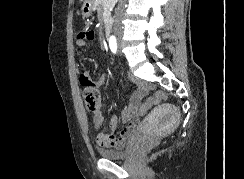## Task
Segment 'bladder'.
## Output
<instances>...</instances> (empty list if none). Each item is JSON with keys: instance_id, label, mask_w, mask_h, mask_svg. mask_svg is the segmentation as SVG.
I'll list each match as a JSON object with an SVG mask.
<instances>
[{"instance_id": "bladder-1", "label": "bladder", "mask_w": 244, "mask_h": 179, "mask_svg": "<svg viewBox=\"0 0 244 179\" xmlns=\"http://www.w3.org/2000/svg\"><path fill=\"white\" fill-rule=\"evenodd\" d=\"M98 155L102 156L103 158L107 159H120V158H125L129 150H123V151H115V150H107V149H98Z\"/></svg>"}]
</instances>
